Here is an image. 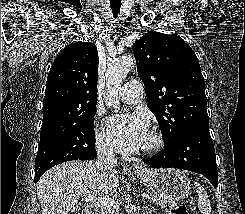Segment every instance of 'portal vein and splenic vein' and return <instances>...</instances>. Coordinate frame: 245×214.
Returning <instances> with one entry per match:
<instances>
[{
	"label": "portal vein and splenic vein",
	"instance_id": "portal-vein-and-splenic-vein-1",
	"mask_svg": "<svg viewBox=\"0 0 245 214\" xmlns=\"http://www.w3.org/2000/svg\"><path fill=\"white\" fill-rule=\"evenodd\" d=\"M142 196L146 199H152L148 194L143 193ZM84 200L86 202L95 203L97 206L100 207H109V206H115L117 203L114 199L110 197H94L92 194L84 195Z\"/></svg>",
	"mask_w": 245,
	"mask_h": 214
}]
</instances>
